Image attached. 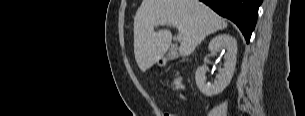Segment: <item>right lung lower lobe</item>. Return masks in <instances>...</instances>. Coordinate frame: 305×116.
I'll return each instance as SVG.
<instances>
[{
	"label": "right lung lower lobe",
	"mask_w": 305,
	"mask_h": 116,
	"mask_svg": "<svg viewBox=\"0 0 305 116\" xmlns=\"http://www.w3.org/2000/svg\"><path fill=\"white\" fill-rule=\"evenodd\" d=\"M219 15L233 21L243 33L247 43L254 30L258 8L262 0H200Z\"/></svg>",
	"instance_id": "obj_1"
}]
</instances>
